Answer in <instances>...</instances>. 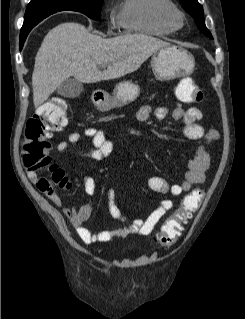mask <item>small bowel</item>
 Segmentation results:
<instances>
[{"mask_svg": "<svg viewBox=\"0 0 245 319\" xmlns=\"http://www.w3.org/2000/svg\"><path fill=\"white\" fill-rule=\"evenodd\" d=\"M190 78H183L180 81L179 86L192 85ZM162 120L166 117L168 111L165 108H159L153 112L150 106H142L137 112V119L140 122H146L149 120L152 114ZM171 116L174 120H181L184 122V136L189 140L205 139L206 142H211L216 138V133L213 131H207L203 126L199 124L202 119V112L196 107L183 108L177 107L171 112ZM127 133L136 139L143 140L144 135L141 131L128 128ZM82 136L88 137L92 140L93 146L86 152L82 153L84 158L101 161L108 157L113 151L112 142L108 137L99 129L94 127H87L82 133L72 132L68 135L67 140L60 141L57 144V150L59 152H65L76 144ZM210 165V152L206 144L201 145L194 156L188 159L187 169L184 173V179L179 184L169 185L161 177H151L147 181L148 188L154 192L170 193L174 198L181 194L190 191L194 186L201 184L206 172ZM28 176L34 182H37L36 173L28 172ZM82 183L84 190L88 196H92L96 189V179L92 176L84 175L82 177ZM47 194V193H46ZM49 198L57 206L62 207V202L56 193L47 194ZM107 202L108 210L113 218L120 221H125V216L121 213L119 207L115 202V190L109 188L107 190ZM174 206V202L171 199H165L160 202L155 210L146 219H136L127 226L111 230H102L99 232H91L86 222L90 219L93 213L91 203L87 202L82 206L76 207H62V211L66 217L69 218L71 224L76 230L78 237L86 244L107 242L113 237L125 238L130 235L140 234L148 235L152 233L158 222L162 217L170 211Z\"/></svg>", "mask_w": 245, "mask_h": 319, "instance_id": "1", "label": "small bowel"}]
</instances>
